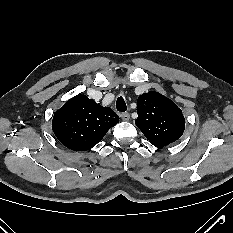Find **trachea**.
Returning a JSON list of instances; mask_svg holds the SVG:
<instances>
[{"instance_id":"3493384b","label":"trachea","mask_w":233,"mask_h":233,"mask_svg":"<svg viewBox=\"0 0 233 233\" xmlns=\"http://www.w3.org/2000/svg\"><path fill=\"white\" fill-rule=\"evenodd\" d=\"M116 108L120 112H125L127 110V106H126V103H125L123 97H121V96L118 97L117 103H116Z\"/></svg>"}]
</instances>
